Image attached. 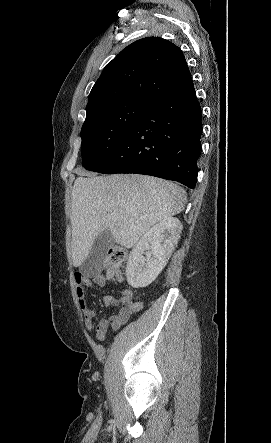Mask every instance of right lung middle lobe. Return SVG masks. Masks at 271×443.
Segmentation results:
<instances>
[{
	"label": "right lung middle lobe",
	"mask_w": 271,
	"mask_h": 443,
	"mask_svg": "<svg viewBox=\"0 0 271 443\" xmlns=\"http://www.w3.org/2000/svg\"><path fill=\"white\" fill-rule=\"evenodd\" d=\"M150 104L142 99H125L96 107L81 129L82 166L90 171L102 166Z\"/></svg>",
	"instance_id": "dd1d6c3e"
}]
</instances>
